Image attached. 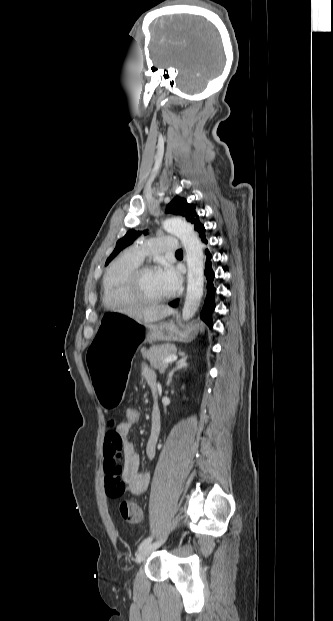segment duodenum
Wrapping results in <instances>:
<instances>
[{
    "label": "duodenum",
    "instance_id": "1",
    "mask_svg": "<svg viewBox=\"0 0 333 621\" xmlns=\"http://www.w3.org/2000/svg\"><path fill=\"white\" fill-rule=\"evenodd\" d=\"M151 389H152L153 394H155V393H156V386H155V385H152V386H151ZM152 421H153V423H154V425H155V426H157V425L159 424V422H160V416H159V414H158V413H156V412H155V413L153 414V416H152Z\"/></svg>",
    "mask_w": 333,
    "mask_h": 621
}]
</instances>
